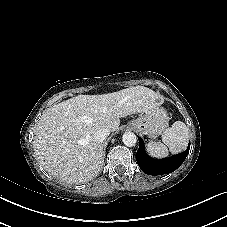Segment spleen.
<instances>
[{"mask_svg": "<svg viewBox=\"0 0 227 227\" xmlns=\"http://www.w3.org/2000/svg\"><path fill=\"white\" fill-rule=\"evenodd\" d=\"M189 141V128L185 123L176 121L162 134V142L150 141L147 144V151L155 158H165L169 151L173 154L186 149Z\"/></svg>", "mask_w": 227, "mask_h": 227, "instance_id": "spleen-1", "label": "spleen"}]
</instances>
